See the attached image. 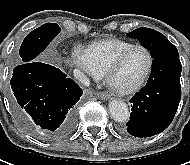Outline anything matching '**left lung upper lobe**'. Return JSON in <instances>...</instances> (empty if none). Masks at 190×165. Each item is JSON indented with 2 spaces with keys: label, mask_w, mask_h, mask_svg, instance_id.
I'll use <instances>...</instances> for the list:
<instances>
[{
  "label": "left lung upper lobe",
  "mask_w": 190,
  "mask_h": 165,
  "mask_svg": "<svg viewBox=\"0 0 190 165\" xmlns=\"http://www.w3.org/2000/svg\"><path fill=\"white\" fill-rule=\"evenodd\" d=\"M127 36L139 40L143 47L150 51L152 58L175 48L163 34L150 28H138L128 33Z\"/></svg>",
  "instance_id": "left-lung-upper-lobe-1"
}]
</instances>
